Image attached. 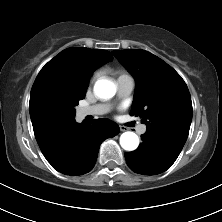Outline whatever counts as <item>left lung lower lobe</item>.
I'll use <instances>...</instances> for the list:
<instances>
[{
  "label": "left lung lower lobe",
  "mask_w": 222,
  "mask_h": 222,
  "mask_svg": "<svg viewBox=\"0 0 222 222\" xmlns=\"http://www.w3.org/2000/svg\"><path fill=\"white\" fill-rule=\"evenodd\" d=\"M161 130H147L142 143L133 152H126L129 168L139 174L156 175L166 171L177 159L188 137L178 125Z\"/></svg>",
  "instance_id": "left-lung-lower-lobe-1"
}]
</instances>
